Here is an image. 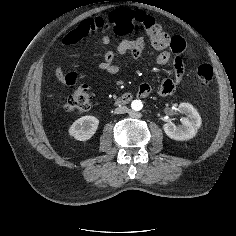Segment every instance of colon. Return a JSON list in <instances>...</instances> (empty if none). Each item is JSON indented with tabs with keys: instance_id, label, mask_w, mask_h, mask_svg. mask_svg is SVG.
Listing matches in <instances>:
<instances>
[{
	"instance_id": "1",
	"label": "colon",
	"mask_w": 236,
	"mask_h": 236,
	"mask_svg": "<svg viewBox=\"0 0 236 236\" xmlns=\"http://www.w3.org/2000/svg\"><path fill=\"white\" fill-rule=\"evenodd\" d=\"M152 18L143 12H135L128 9H118L108 17H94L80 24L75 30L67 35L71 43H77L90 32L111 29L119 36H128L147 29ZM164 37L169 35L160 30ZM197 78L202 85H208L213 79V68L209 64H202L197 68ZM65 83L73 85L76 79L72 75L65 78ZM91 91L87 85L81 84L72 92L65 102V109L69 112L84 113L90 107Z\"/></svg>"
}]
</instances>
